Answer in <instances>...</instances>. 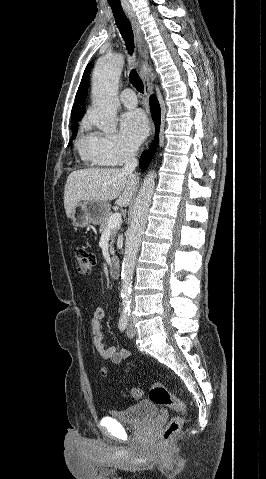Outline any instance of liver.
I'll use <instances>...</instances> for the list:
<instances>
[{
	"mask_svg": "<svg viewBox=\"0 0 266 479\" xmlns=\"http://www.w3.org/2000/svg\"><path fill=\"white\" fill-rule=\"evenodd\" d=\"M139 177L118 168H91L69 174L64 189V208L68 218L80 201L116 200L121 207L130 205L137 191Z\"/></svg>",
	"mask_w": 266,
	"mask_h": 479,
	"instance_id": "1",
	"label": "liver"
}]
</instances>
